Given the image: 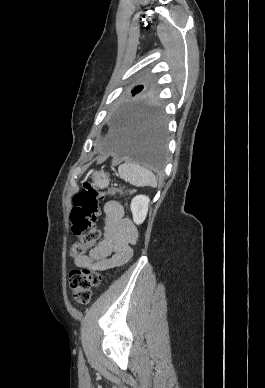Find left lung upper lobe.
<instances>
[{"instance_id":"1","label":"left lung upper lobe","mask_w":265,"mask_h":388,"mask_svg":"<svg viewBox=\"0 0 265 388\" xmlns=\"http://www.w3.org/2000/svg\"><path fill=\"white\" fill-rule=\"evenodd\" d=\"M132 98L122 105V108H156L159 101L150 88H143L142 85L135 87L132 91Z\"/></svg>"}]
</instances>
